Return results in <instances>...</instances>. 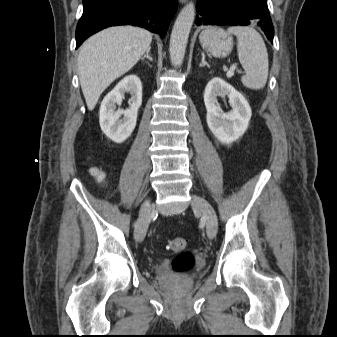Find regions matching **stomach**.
<instances>
[{
  "mask_svg": "<svg viewBox=\"0 0 337 337\" xmlns=\"http://www.w3.org/2000/svg\"><path fill=\"white\" fill-rule=\"evenodd\" d=\"M199 41L207 52L217 58L226 57L233 48L232 36L218 27L203 30L199 35Z\"/></svg>",
  "mask_w": 337,
  "mask_h": 337,
  "instance_id": "1",
  "label": "stomach"
}]
</instances>
